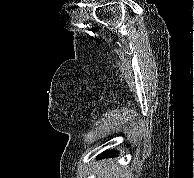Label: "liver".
I'll return each instance as SVG.
<instances>
[{"label": "liver", "mask_w": 194, "mask_h": 178, "mask_svg": "<svg viewBox=\"0 0 194 178\" xmlns=\"http://www.w3.org/2000/svg\"><path fill=\"white\" fill-rule=\"evenodd\" d=\"M99 172V178H124V168L111 166V163L105 164L104 168H99Z\"/></svg>", "instance_id": "liver-1"}]
</instances>
